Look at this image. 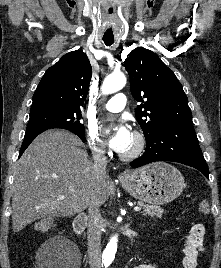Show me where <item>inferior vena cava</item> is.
I'll return each mask as SVG.
<instances>
[{
  "label": "inferior vena cava",
  "mask_w": 221,
  "mask_h": 268,
  "mask_svg": "<svg viewBox=\"0 0 221 268\" xmlns=\"http://www.w3.org/2000/svg\"><path fill=\"white\" fill-rule=\"evenodd\" d=\"M93 171L97 176L106 175L107 158L105 151L93 153ZM88 207L89 224L87 230L88 260L90 268H101V214L100 204L93 201Z\"/></svg>",
  "instance_id": "1"
}]
</instances>
